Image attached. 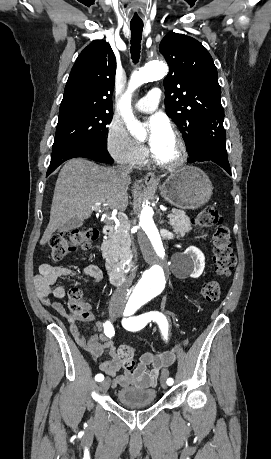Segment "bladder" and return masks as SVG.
I'll return each instance as SVG.
<instances>
[{"instance_id": "bladder-1", "label": "bladder", "mask_w": 271, "mask_h": 459, "mask_svg": "<svg viewBox=\"0 0 271 459\" xmlns=\"http://www.w3.org/2000/svg\"><path fill=\"white\" fill-rule=\"evenodd\" d=\"M156 392L154 389H140L135 385L123 388L118 392V404L148 405L155 403Z\"/></svg>"}]
</instances>
